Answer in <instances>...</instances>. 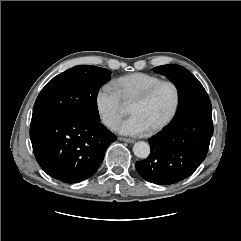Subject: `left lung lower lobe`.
Instances as JSON below:
<instances>
[{
  "label": "left lung lower lobe",
  "mask_w": 241,
  "mask_h": 241,
  "mask_svg": "<svg viewBox=\"0 0 241 241\" xmlns=\"http://www.w3.org/2000/svg\"><path fill=\"white\" fill-rule=\"evenodd\" d=\"M213 134L212 111H202L149 139L150 155L136 162L146 181L169 185L191 176L205 159Z\"/></svg>",
  "instance_id": "0a47b994"
}]
</instances>
